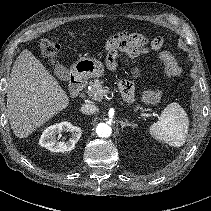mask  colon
Here are the masks:
<instances>
[{
    "instance_id": "colon-1",
    "label": "colon",
    "mask_w": 211,
    "mask_h": 211,
    "mask_svg": "<svg viewBox=\"0 0 211 211\" xmlns=\"http://www.w3.org/2000/svg\"><path fill=\"white\" fill-rule=\"evenodd\" d=\"M73 38H77L71 34ZM112 44L105 47V61L109 68L116 67V58L119 53H124L129 56H138L148 50L159 51V58L164 64L165 76L168 80L175 78L180 73V68L175 58L168 52L162 50L164 39L154 37L149 41L139 33L120 32L112 38ZM149 43V47L146 44ZM39 48L43 56L49 61L54 62L59 56V46L49 39H43L39 43ZM163 91L160 88L146 91L143 95V100L147 104L156 105L162 100Z\"/></svg>"
}]
</instances>
